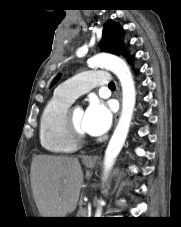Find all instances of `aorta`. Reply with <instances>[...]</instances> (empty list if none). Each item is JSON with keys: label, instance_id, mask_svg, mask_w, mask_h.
<instances>
[{"label": "aorta", "instance_id": "obj_1", "mask_svg": "<svg viewBox=\"0 0 181 227\" xmlns=\"http://www.w3.org/2000/svg\"><path fill=\"white\" fill-rule=\"evenodd\" d=\"M91 67H105L119 79L122 87V111L118 124L109 141L104 157L105 171L108 172L121 151L129 132L136 102V91L128 65L121 58L111 54H97L89 60ZM103 201L99 202L95 217H101Z\"/></svg>", "mask_w": 181, "mask_h": 227}]
</instances>
